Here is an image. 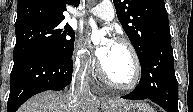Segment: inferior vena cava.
I'll return each mask as SVG.
<instances>
[{"mask_svg":"<svg viewBox=\"0 0 193 112\" xmlns=\"http://www.w3.org/2000/svg\"><path fill=\"white\" fill-rule=\"evenodd\" d=\"M88 67L82 63L77 67L72 80V91L71 95L75 98L80 97L84 94H90V88L88 85Z\"/></svg>","mask_w":193,"mask_h":112,"instance_id":"1","label":"inferior vena cava"}]
</instances>
